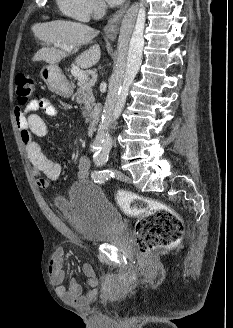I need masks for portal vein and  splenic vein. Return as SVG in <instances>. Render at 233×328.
Listing matches in <instances>:
<instances>
[{
  "label": "portal vein and splenic vein",
  "instance_id": "portal-vein-and-splenic-vein-1",
  "mask_svg": "<svg viewBox=\"0 0 233 328\" xmlns=\"http://www.w3.org/2000/svg\"><path fill=\"white\" fill-rule=\"evenodd\" d=\"M54 46L59 47L67 52H71L73 50L72 46L61 45L59 43L55 44ZM71 73H72V75L77 76L79 78V80L88 81V79H89L88 74L85 71L81 70L78 66H73L71 69Z\"/></svg>",
  "mask_w": 233,
  "mask_h": 328
}]
</instances>
